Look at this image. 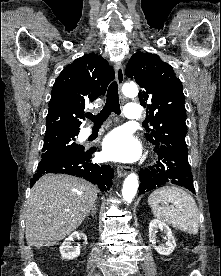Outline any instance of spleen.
I'll list each match as a JSON object with an SVG mask.
<instances>
[{
	"instance_id": "1",
	"label": "spleen",
	"mask_w": 221,
	"mask_h": 276,
	"mask_svg": "<svg viewBox=\"0 0 221 276\" xmlns=\"http://www.w3.org/2000/svg\"><path fill=\"white\" fill-rule=\"evenodd\" d=\"M172 203L173 206L159 205ZM153 215L191 235H196L199 230V213L193 197L181 188L165 186L154 190L148 198Z\"/></svg>"
}]
</instances>
